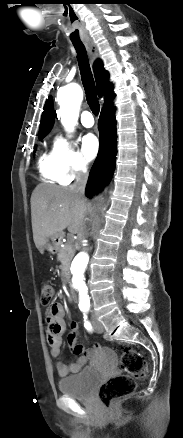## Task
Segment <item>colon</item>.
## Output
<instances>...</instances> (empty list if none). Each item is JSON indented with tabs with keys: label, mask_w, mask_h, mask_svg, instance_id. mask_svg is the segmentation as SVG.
Instances as JSON below:
<instances>
[{
	"label": "colon",
	"mask_w": 183,
	"mask_h": 438,
	"mask_svg": "<svg viewBox=\"0 0 183 438\" xmlns=\"http://www.w3.org/2000/svg\"><path fill=\"white\" fill-rule=\"evenodd\" d=\"M54 296V287L50 281L41 284V303L49 305ZM120 366L124 373L106 380L100 387L99 399L106 408H112L120 399L132 394L136 388L137 380L144 379L148 374L146 358L125 345L121 348Z\"/></svg>",
	"instance_id": "colon-1"
}]
</instances>
